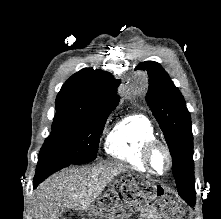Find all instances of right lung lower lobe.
<instances>
[{"mask_svg":"<svg viewBox=\"0 0 221 219\" xmlns=\"http://www.w3.org/2000/svg\"><path fill=\"white\" fill-rule=\"evenodd\" d=\"M69 165V163L56 159L40 160L36 168L33 188H36L49 175Z\"/></svg>","mask_w":221,"mask_h":219,"instance_id":"1","label":"right lung lower lobe"}]
</instances>
